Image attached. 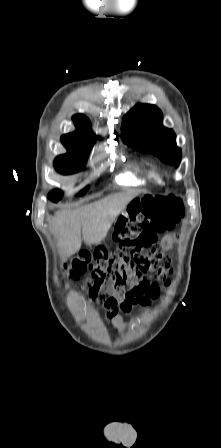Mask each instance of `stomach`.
Returning <instances> with one entry per match:
<instances>
[{"mask_svg":"<svg viewBox=\"0 0 221 448\" xmlns=\"http://www.w3.org/2000/svg\"><path fill=\"white\" fill-rule=\"evenodd\" d=\"M130 206H131V203H129V204L127 205V207H126V208H127V209H129V208H130ZM127 211H128V210H127Z\"/></svg>","mask_w":221,"mask_h":448,"instance_id":"0dacf381","label":"stomach"}]
</instances>
